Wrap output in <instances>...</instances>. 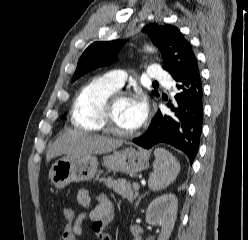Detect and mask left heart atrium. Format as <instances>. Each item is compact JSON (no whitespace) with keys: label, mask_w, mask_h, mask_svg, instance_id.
Instances as JSON below:
<instances>
[{"label":"left heart atrium","mask_w":248,"mask_h":240,"mask_svg":"<svg viewBox=\"0 0 248 240\" xmlns=\"http://www.w3.org/2000/svg\"><path fill=\"white\" fill-rule=\"evenodd\" d=\"M147 117V104L144 96L137 93L132 98L130 118L135 127L140 126Z\"/></svg>","instance_id":"obj_1"}]
</instances>
